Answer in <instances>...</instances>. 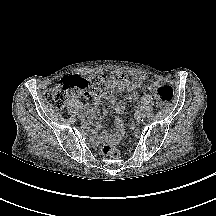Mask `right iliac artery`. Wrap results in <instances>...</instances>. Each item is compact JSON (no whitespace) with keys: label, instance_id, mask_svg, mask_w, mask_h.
<instances>
[{"label":"right iliac artery","instance_id":"1","mask_svg":"<svg viewBox=\"0 0 216 216\" xmlns=\"http://www.w3.org/2000/svg\"><path fill=\"white\" fill-rule=\"evenodd\" d=\"M79 112H80L81 114H85V113H86V110H85V109H81Z\"/></svg>","mask_w":216,"mask_h":216}]
</instances>
